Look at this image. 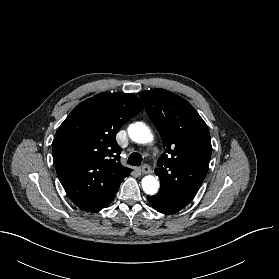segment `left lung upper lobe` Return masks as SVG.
<instances>
[{
  "instance_id": "5c2ea615",
  "label": "left lung upper lobe",
  "mask_w": 279,
  "mask_h": 279,
  "mask_svg": "<svg viewBox=\"0 0 279 279\" xmlns=\"http://www.w3.org/2000/svg\"><path fill=\"white\" fill-rule=\"evenodd\" d=\"M140 97L165 148L155 169L160 191L193 198L212 153L206 123L189 102L170 91L157 88L141 92Z\"/></svg>"
}]
</instances>
